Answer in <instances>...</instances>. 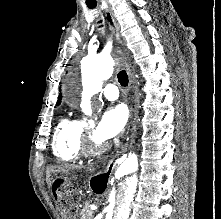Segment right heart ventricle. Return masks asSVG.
Returning a JSON list of instances; mask_svg holds the SVG:
<instances>
[{"label":"right heart ventricle","mask_w":221,"mask_h":219,"mask_svg":"<svg viewBox=\"0 0 221 219\" xmlns=\"http://www.w3.org/2000/svg\"><path fill=\"white\" fill-rule=\"evenodd\" d=\"M86 125L80 119L63 118L57 125L52 141L53 153L58 160L72 163L83 156V140Z\"/></svg>","instance_id":"right-heart-ventricle-1"}]
</instances>
